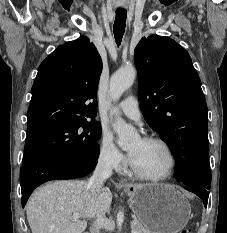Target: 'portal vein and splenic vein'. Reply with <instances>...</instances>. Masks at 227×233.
<instances>
[{
    "label": "portal vein and splenic vein",
    "mask_w": 227,
    "mask_h": 233,
    "mask_svg": "<svg viewBox=\"0 0 227 233\" xmlns=\"http://www.w3.org/2000/svg\"><path fill=\"white\" fill-rule=\"evenodd\" d=\"M72 219H73V220L79 219V214H77V213L73 214V215H72Z\"/></svg>",
    "instance_id": "portal-vein-and-splenic-vein-1"
}]
</instances>
